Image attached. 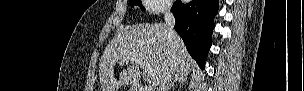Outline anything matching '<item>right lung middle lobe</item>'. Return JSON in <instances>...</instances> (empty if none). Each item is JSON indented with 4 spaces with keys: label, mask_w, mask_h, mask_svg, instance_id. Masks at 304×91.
<instances>
[{
    "label": "right lung middle lobe",
    "mask_w": 304,
    "mask_h": 91,
    "mask_svg": "<svg viewBox=\"0 0 304 91\" xmlns=\"http://www.w3.org/2000/svg\"><path fill=\"white\" fill-rule=\"evenodd\" d=\"M129 3H130L131 6L139 5L140 8L142 10H144V7L142 6L141 0H129Z\"/></svg>",
    "instance_id": "dd1d6c3e"
}]
</instances>
